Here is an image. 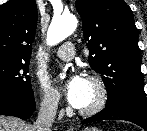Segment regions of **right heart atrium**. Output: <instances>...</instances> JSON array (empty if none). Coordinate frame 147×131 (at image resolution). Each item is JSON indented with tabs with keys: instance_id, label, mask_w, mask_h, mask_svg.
Segmentation results:
<instances>
[{
	"instance_id": "d8ad5b80",
	"label": "right heart atrium",
	"mask_w": 147,
	"mask_h": 131,
	"mask_svg": "<svg viewBox=\"0 0 147 131\" xmlns=\"http://www.w3.org/2000/svg\"><path fill=\"white\" fill-rule=\"evenodd\" d=\"M38 94L41 111L47 115H55L60 104L58 95L43 82L38 84Z\"/></svg>"
}]
</instances>
